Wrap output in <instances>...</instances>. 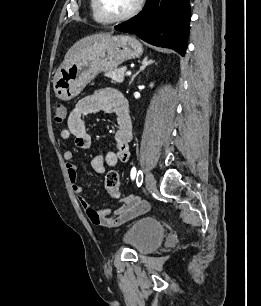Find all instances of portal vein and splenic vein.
<instances>
[{
	"instance_id": "portal-vein-and-splenic-vein-1",
	"label": "portal vein and splenic vein",
	"mask_w": 261,
	"mask_h": 306,
	"mask_svg": "<svg viewBox=\"0 0 261 306\" xmlns=\"http://www.w3.org/2000/svg\"><path fill=\"white\" fill-rule=\"evenodd\" d=\"M126 75H127V76H130V75H131V72H130V71L126 72Z\"/></svg>"
}]
</instances>
